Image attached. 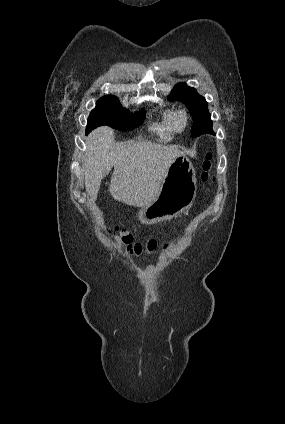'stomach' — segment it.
<instances>
[{
  "instance_id": "0dacf381",
  "label": "stomach",
  "mask_w": 285,
  "mask_h": 424,
  "mask_svg": "<svg viewBox=\"0 0 285 424\" xmlns=\"http://www.w3.org/2000/svg\"><path fill=\"white\" fill-rule=\"evenodd\" d=\"M196 182L195 169L182 153L169 166L156 199L141 207L139 220L152 225L177 217L193 204Z\"/></svg>"
}]
</instances>
